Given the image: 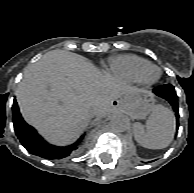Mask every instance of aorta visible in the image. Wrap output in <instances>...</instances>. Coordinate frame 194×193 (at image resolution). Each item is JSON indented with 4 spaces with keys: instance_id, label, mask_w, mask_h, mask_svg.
I'll return each instance as SVG.
<instances>
[{
    "instance_id": "1",
    "label": "aorta",
    "mask_w": 194,
    "mask_h": 193,
    "mask_svg": "<svg viewBox=\"0 0 194 193\" xmlns=\"http://www.w3.org/2000/svg\"><path fill=\"white\" fill-rule=\"evenodd\" d=\"M129 127L128 120L123 116H114L110 121V128L113 132L122 133L127 131Z\"/></svg>"
}]
</instances>
